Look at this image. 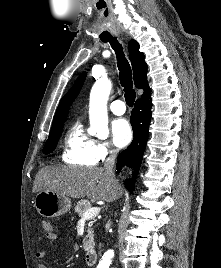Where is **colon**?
<instances>
[{"instance_id": "obj_1", "label": "colon", "mask_w": 221, "mask_h": 268, "mask_svg": "<svg viewBox=\"0 0 221 268\" xmlns=\"http://www.w3.org/2000/svg\"><path fill=\"white\" fill-rule=\"evenodd\" d=\"M41 226H42V229L45 231V232H49L52 230L53 226L51 224L50 221H48L47 219H43L41 221Z\"/></svg>"}]
</instances>
